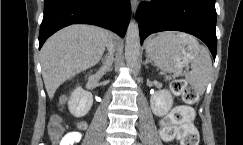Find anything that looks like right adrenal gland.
<instances>
[{
    "mask_svg": "<svg viewBox=\"0 0 243 145\" xmlns=\"http://www.w3.org/2000/svg\"><path fill=\"white\" fill-rule=\"evenodd\" d=\"M101 61L104 63V62H105V59H104V58H102V59H101Z\"/></svg>",
    "mask_w": 243,
    "mask_h": 145,
    "instance_id": "2a0ac1e0",
    "label": "right adrenal gland"
}]
</instances>
